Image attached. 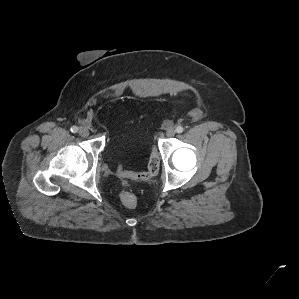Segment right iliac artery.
Wrapping results in <instances>:
<instances>
[{
  "instance_id": "82829eb1",
  "label": "right iliac artery",
  "mask_w": 299,
  "mask_h": 299,
  "mask_svg": "<svg viewBox=\"0 0 299 299\" xmlns=\"http://www.w3.org/2000/svg\"><path fill=\"white\" fill-rule=\"evenodd\" d=\"M70 130L72 133H77L79 129L77 126H72Z\"/></svg>"
}]
</instances>
